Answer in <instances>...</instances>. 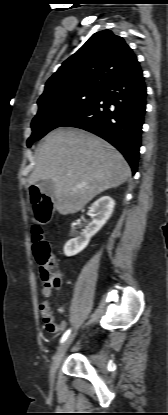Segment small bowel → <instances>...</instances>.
I'll use <instances>...</instances> for the list:
<instances>
[{
    "label": "small bowel",
    "instance_id": "small-bowel-1",
    "mask_svg": "<svg viewBox=\"0 0 168 415\" xmlns=\"http://www.w3.org/2000/svg\"><path fill=\"white\" fill-rule=\"evenodd\" d=\"M59 288H60V281L55 286H50V285L44 284V286L42 287V290H41V293H42L43 297L45 298V300L40 304L39 310H40L41 316L43 318V322L46 325V328L49 331H52V332L61 331L66 327V322L65 321H61V322H56L55 321L54 316H53L52 308H51L50 303L48 301V298L52 294V290L53 289L58 290ZM57 310H58V312L63 313L65 311V307L63 305H60V306H58Z\"/></svg>",
    "mask_w": 168,
    "mask_h": 415
}]
</instances>
